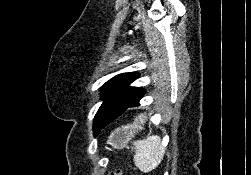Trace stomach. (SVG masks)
<instances>
[{
	"mask_svg": "<svg viewBox=\"0 0 251 175\" xmlns=\"http://www.w3.org/2000/svg\"><path fill=\"white\" fill-rule=\"evenodd\" d=\"M145 117H136L133 123H126V125H121V127H116L111 131L107 143H110L111 147L114 149H123V147H127V143H129L130 139L139 133L141 129H144Z\"/></svg>",
	"mask_w": 251,
	"mask_h": 175,
	"instance_id": "0dacf381",
	"label": "stomach"
}]
</instances>
